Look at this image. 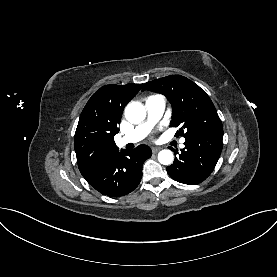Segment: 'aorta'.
<instances>
[{"label":"aorta","instance_id":"obj_1","mask_svg":"<svg viewBox=\"0 0 277 277\" xmlns=\"http://www.w3.org/2000/svg\"><path fill=\"white\" fill-rule=\"evenodd\" d=\"M125 117L129 122L138 124L145 119L146 110L140 102H132L125 108ZM173 160V153L169 149L162 150L158 154V161L163 165H170Z\"/></svg>","mask_w":277,"mask_h":277}]
</instances>
